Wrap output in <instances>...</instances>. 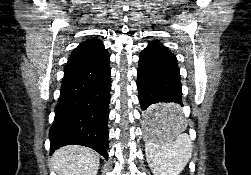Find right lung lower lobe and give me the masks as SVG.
<instances>
[{
  "instance_id": "98d812e1",
  "label": "right lung lower lobe",
  "mask_w": 251,
  "mask_h": 175,
  "mask_svg": "<svg viewBox=\"0 0 251 175\" xmlns=\"http://www.w3.org/2000/svg\"><path fill=\"white\" fill-rule=\"evenodd\" d=\"M109 54L96 62L65 67L55 118L49 132L50 153L78 144L108 159Z\"/></svg>"
}]
</instances>
